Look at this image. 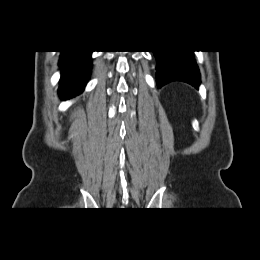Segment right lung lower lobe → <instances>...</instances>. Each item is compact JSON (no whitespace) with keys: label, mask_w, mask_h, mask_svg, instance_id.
Listing matches in <instances>:
<instances>
[{"label":"right lung lower lobe","mask_w":260,"mask_h":260,"mask_svg":"<svg viewBox=\"0 0 260 260\" xmlns=\"http://www.w3.org/2000/svg\"><path fill=\"white\" fill-rule=\"evenodd\" d=\"M91 53L92 51H61L59 95L62 99L79 95L84 90L91 73Z\"/></svg>","instance_id":"obj_1"}]
</instances>
